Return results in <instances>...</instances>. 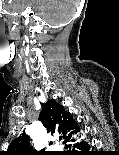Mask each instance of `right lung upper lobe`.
<instances>
[{
  "label": "right lung upper lobe",
  "mask_w": 119,
  "mask_h": 155,
  "mask_svg": "<svg viewBox=\"0 0 119 155\" xmlns=\"http://www.w3.org/2000/svg\"><path fill=\"white\" fill-rule=\"evenodd\" d=\"M39 121L45 126L48 132L58 131L62 134L64 142L78 129L77 122L69 112H66L62 105L54 100L47 101L39 116ZM40 153V154H37ZM4 155H49L44 151H33L29 143V136L21 134L8 147Z\"/></svg>",
  "instance_id": "obj_1"
}]
</instances>
